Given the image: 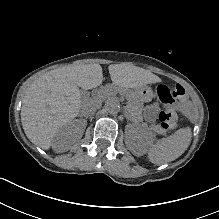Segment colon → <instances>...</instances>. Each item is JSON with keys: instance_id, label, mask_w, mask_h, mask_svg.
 <instances>
[{"instance_id": "5ec220e1", "label": "colon", "mask_w": 219, "mask_h": 219, "mask_svg": "<svg viewBox=\"0 0 219 219\" xmlns=\"http://www.w3.org/2000/svg\"><path fill=\"white\" fill-rule=\"evenodd\" d=\"M172 97L179 100L187 98L185 89L181 85H176L172 92ZM158 119L161 128L165 131H170L176 127L177 113L175 109L167 108L159 113Z\"/></svg>"}]
</instances>
